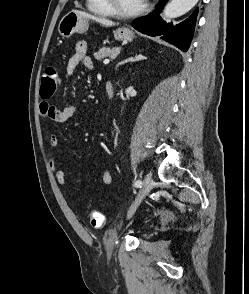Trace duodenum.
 <instances>
[{"label": "duodenum", "mask_w": 249, "mask_h": 294, "mask_svg": "<svg viewBox=\"0 0 249 294\" xmlns=\"http://www.w3.org/2000/svg\"><path fill=\"white\" fill-rule=\"evenodd\" d=\"M106 95L108 99H111L113 96V87L110 83H107L106 85Z\"/></svg>", "instance_id": "1"}]
</instances>
